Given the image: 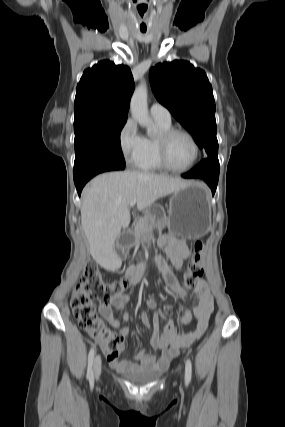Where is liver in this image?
<instances>
[{"label":"liver","instance_id":"1","mask_svg":"<svg viewBox=\"0 0 285 427\" xmlns=\"http://www.w3.org/2000/svg\"><path fill=\"white\" fill-rule=\"evenodd\" d=\"M190 182L148 172H110L96 176L82 192L81 224L93 259L103 267L115 263L114 242L130 224L129 204L137 210L185 188Z\"/></svg>","mask_w":285,"mask_h":427}]
</instances>
